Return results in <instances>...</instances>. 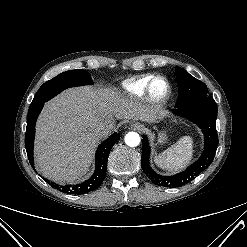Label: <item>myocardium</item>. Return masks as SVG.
I'll return each mask as SVG.
<instances>
[{
  "instance_id": "f54148a6",
  "label": "myocardium",
  "mask_w": 247,
  "mask_h": 247,
  "mask_svg": "<svg viewBox=\"0 0 247 247\" xmlns=\"http://www.w3.org/2000/svg\"><path fill=\"white\" fill-rule=\"evenodd\" d=\"M158 81H162L166 89L163 93H156L154 90V86ZM172 94V85L170 81L161 75L153 76L149 81L146 88V96L148 100L154 104H163L167 102Z\"/></svg>"
}]
</instances>
